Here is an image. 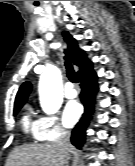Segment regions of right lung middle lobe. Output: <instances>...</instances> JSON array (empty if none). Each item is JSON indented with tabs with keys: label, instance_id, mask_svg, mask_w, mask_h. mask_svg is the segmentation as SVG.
<instances>
[{
	"label": "right lung middle lobe",
	"instance_id": "obj_1",
	"mask_svg": "<svg viewBox=\"0 0 135 166\" xmlns=\"http://www.w3.org/2000/svg\"><path fill=\"white\" fill-rule=\"evenodd\" d=\"M21 107H22V106L17 107V108H14V115H16V114L19 112V110L21 109Z\"/></svg>",
	"mask_w": 135,
	"mask_h": 166
}]
</instances>
